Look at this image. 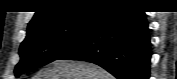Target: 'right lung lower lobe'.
Returning a JSON list of instances; mask_svg holds the SVG:
<instances>
[{
	"instance_id": "98d812e1",
	"label": "right lung lower lobe",
	"mask_w": 177,
	"mask_h": 79,
	"mask_svg": "<svg viewBox=\"0 0 177 79\" xmlns=\"http://www.w3.org/2000/svg\"><path fill=\"white\" fill-rule=\"evenodd\" d=\"M150 58L145 13L115 6L106 9L85 40L59 60L92 62L118 79H148Z\"/></svg>"
}]
</instances>
